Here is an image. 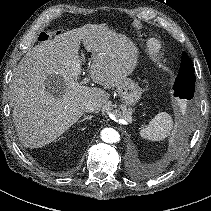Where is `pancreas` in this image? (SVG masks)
I'll list each match as a JSON object with an SVG mask.
<instances>
[{
  "label": "pancreas",
  "mask_w": 211,
  "mask_h": 211,
  "mask_svg": "<svg viewBox=\"0 0 211 211\" xmlns=\"http://www.w3.org/2000/svg\"><path fill=\"white\" fill-rule=\"evenodd\" d=\"M113 104L112 102H108L106 105V110L111 112L115 117L124 119L128 122L132 121V110L127 108L126 105H118Z\"/></svg>",
  "instance_id": "cf45deb5"
}]
</instances>
